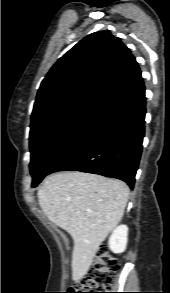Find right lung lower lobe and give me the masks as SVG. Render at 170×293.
<instances>
[{
  "label": "right lung lower lobe",
  "instance_id": "98d812e1",
  "mask_svg": "<svg viewBox=\"0 0 170 293\" xmlns=\"http://www.w3.org/2000/svg\"><path fill=\"white\" fill-rule=\"evenodd\" d=\"M145 86L108 103L101 114L51 167L118 178L133 188L145 132Z\"/></svg>",
  "mask_w": 170,
  "mask_h": 293
}]
</instances>
